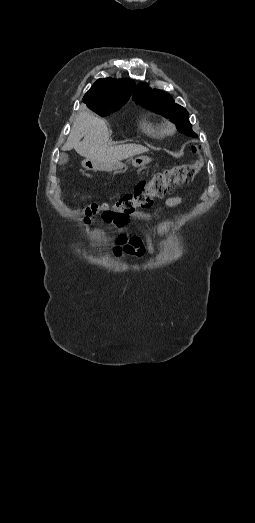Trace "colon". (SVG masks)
Listing matches in <instances>:
<instances>
[{
	"mask_svg": "<svg viewBox=\"0 0 255 523\" xmlns=\"http://www.w3.org/2000/svg\"><path fill=\"white\" fill-rule=\"evenodd\" d=\"M194 152L198 146L192 147ZM203 163L197 160L190 164H181L154 174L149 180L139 182L134 192L118 199L113 204H90L83 208V215L87 220L101 214L104 221L123 224L128 215L137 209H148L154 205L156 199H161L177 186L192 181L201 170Z\"/></svg>",
	"mask_w": 255,
	"mask_h": 523,
	"instance_id": "obj_1",
	"label": "colon"
}]
</instances>
